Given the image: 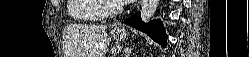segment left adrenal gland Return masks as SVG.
<instances>
[{
	"label": "left adrenal gland",
	"instance_id": "left-adrenal-gland-1",
	"mask_svg": "<svg viewBox=\"0 0 249 57\" xmlns=\"http://www.w3.org/2000/svg\"><path fill=\"white\" fill-rule=\"evenodd\" d=\"M130 53H131V48H126L125 49V57H129L130 56Z\"/></svg>",
	"mask_w": 249,
	"mask_h": 57
}]
</instances>
